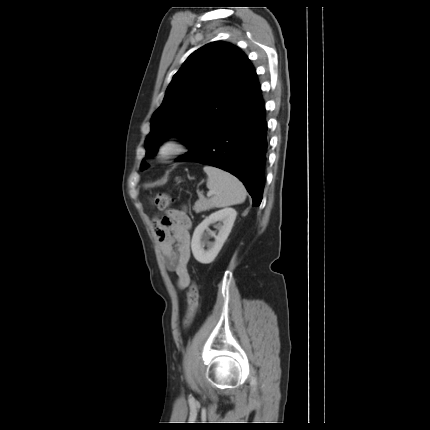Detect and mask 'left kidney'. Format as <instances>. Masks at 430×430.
I'll use <instances>...</instances> for the list:
<instances>
[{"instance_id": "obj_1", "label": "left kidney", "mask_w": 430, "mask_h": 430, "mask_svg": "<svg viewBox=\"0 0 430 430\" xmlns=\"http://www.w3.org/2000/svg\"><path fill=\"white\" fill-rule=\"evenodd\" d=\"M236 216L237 212L234 208H224L211 213L195 228L191 241V249L194 258L198 262L209 264L214 261L231 232ZM216 222H218L216 224L218 234L209 232V235L214 237L215 241L206 243L205 240H202L204 231L208 229L210 224ZM206 244L208 246L207 250L204 249Z\"/></svg>"}]
</instances>
